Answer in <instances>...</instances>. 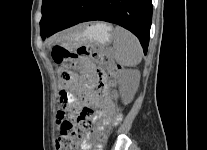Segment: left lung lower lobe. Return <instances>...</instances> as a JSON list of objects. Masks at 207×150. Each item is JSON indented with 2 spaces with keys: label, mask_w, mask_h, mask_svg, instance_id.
<instances>
[{
  "label": "left lung lower lobe",
  "mask_w": 207,
  "mask_h": 150,
  "mask_svg": "<svg viewBox=\"0 0 207 150\" xmlns=\"http://www.w3.org/2000/svg\"><path fill=\"white\" fill-rule=\"evenodd\" d=\"M102 20L120 25L135 34L147 53L152 20L151 0H74L46 36L81 22Z\"/></svg>",
  "instance_id": "left-lung-lower-lobe-1"
}]
</instances>
